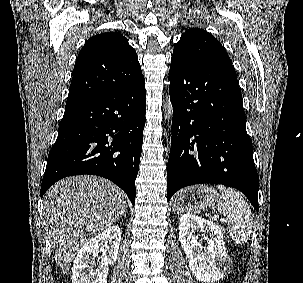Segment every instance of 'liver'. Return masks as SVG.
<instances>
[{"instance_id": "liver-1", "label": "liver", "mask_w": 303, "mask_h": 283, "mask_svg": "<svg viewBox=\"0 0 303 283\" xmlns=\"http://www.w3.org/2000/svg\"><path fill=\"white\" fill-rule=\"evenodd\" d=\"M125 209V194L96 176H74L54 184L44 196V220L60 271L67 274L76 253L110 228Z\"/></svg>"}]
</instances>
